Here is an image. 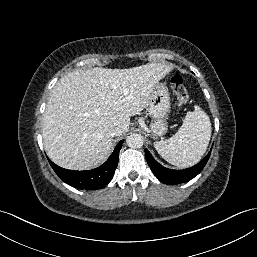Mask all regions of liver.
<instances>
[{
	"mask_svg": "<svg viewBox=\"0 0 257 257\" xmlns=\"http://www.w3.org/2000/svg\"><path fill=\"white\" fill-rule=\"evenodd\" d=\"M170 64L148 63L129 69H77L53 87L43 115V144L49 158L71 170L103 163L112 149L113 128L129 130L130 117L149 96Z\"/></svg>",
	"mask_w": 257,
	"mask_h": 257,
	"instance_id": "obj_1",
	"label": "liver"
}]
</instances>
